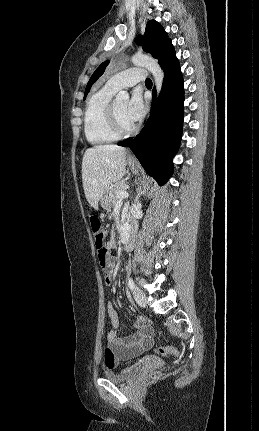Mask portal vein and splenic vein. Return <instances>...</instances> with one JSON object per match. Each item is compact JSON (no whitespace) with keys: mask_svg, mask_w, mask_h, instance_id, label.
I'll list each match as a JSON object with an SVG mask.
<instances>
[{"mask_svg":"<svg viewBox=\"0 0 259 431\" xmlns=\"http://www.w3.org/2000/svg\"><path fill=\"white\" fill-rule=\"evenodd\" d=\"M129 196L128 192H126L125 190L119 191L118 192V197L120 198V200L127 198Z\"/></svg>","mask_w":259,"mask_h":431,"instance_id":"portal-vein-and-splenic-vein-1","label":"portal vein and splenic vein"}]
</instances>
